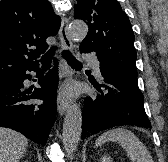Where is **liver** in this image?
I'll return each instance as SVG.
<instances>
[{"label":"liver","instance_id":"liver-1","mask_svg":"<svg viewBox=\"0 0 168 162\" xmlns=\"http://www.w3.org/2000/svg\"><path fill=\"white\" fill-rule=\"evenodd\" d=\"M27 146L28 140L21 133L0 127V162H19Z\"/></svg>","mask_w":168,"mask_h":162}]
</instances>
